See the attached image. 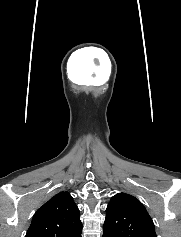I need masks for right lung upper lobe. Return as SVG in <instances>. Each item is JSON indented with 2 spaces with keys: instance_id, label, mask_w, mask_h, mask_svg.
<instances>
[{
  "instance_id": "obj_1",
  "label": "right lung upper lobe",
  "mask_w": 181,
  "mask_h": 237,
  "mask_svg": "<svg viewBox=\"0 0 181 237\" xmlns=\"http://www.w3.org/2000/svg\"><path fill=\"white\" fill-rule=\"evenodd\" d=\"M81 230L77 205L68 192H60L36 211L26 237H79Z\"/></svg>"
}]
</instances>
